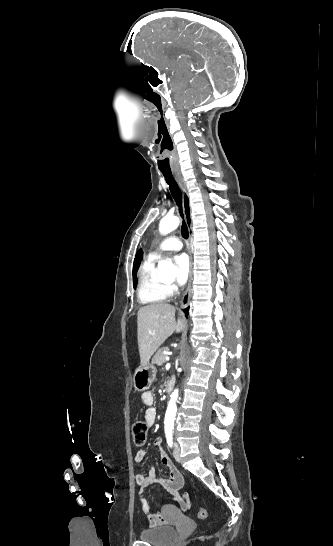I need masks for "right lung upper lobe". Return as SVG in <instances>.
Masks as SVG:
<instances>
[{
	"instance_id": "obj_1",
	"label": "right lung upper lobe",
	"mask_w": 333,
	"mask_h": 546,
	"mask_svg": "<svg viewBox=\"0 0 333 546\" xmlns=\"http://www.w3.org/2000/svg\"><path fill=\"white\" fill-rule=\"evenodd\" d=\"M142 257H143V252L140 250V251L137 252L136 257L134 259V264L135 263L138 264V267H139V264H140V262L142 260ZM133 283H134V280H133Z\"/></svg>"
}]
</instances>
